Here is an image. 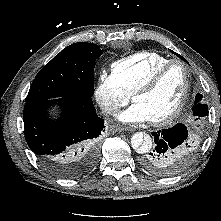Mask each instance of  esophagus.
Returning <instances> with one entry per match:
<instances>
[{
	"mask_svg": "<svg viewBox=\"0 0 221 221\" xmlns=\"http://www.w3.org/2000/svg\"><path fill=\"white\" fill-rule=\"evenodd\" d=\"M111 130L114 132H123L124 130H126V128L122 126H112Z\"/></svg>",
	"mask_w": 221,
	"mask_h": 221,
	"instance_id": "34e87169",
	"label": "esophagus"
}]
</instances>
